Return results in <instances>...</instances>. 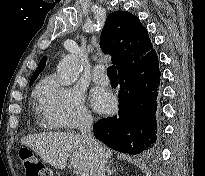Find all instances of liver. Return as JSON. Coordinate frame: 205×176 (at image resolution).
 Listing matches in <instances>:
<instances>
[{
  "label": "liver",
  "instance_id": "obj_1",
  "mask_svg": "<svg viewBox=\"0 0 205 176\" xmlns=\"http://www.w3.org/2000/svg\"><path fill=\"white\" fill-rule=\"evenodd\" d=\"M21 143L58 169L66 167L67 159L72 154L70 164L74 169L81 173H87L89 176L93 172V155L86 143L77 134L39 133L23 137ZM100 146L107 161L112 156V150L104 145Z\"/></svg>",
  "mask_w": 205,
  "mask_h": 176
}]
</instances>
